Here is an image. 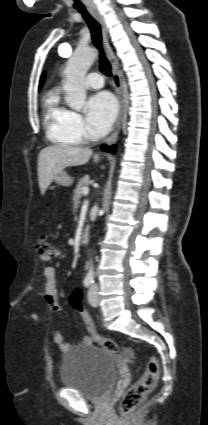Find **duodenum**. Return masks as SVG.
Here are the masks:
<instances>
[{"label": "duodenum", "instance_id": "duodenum-1", "mask_svg": "<svg viewBox=\"0 0 208 425\" xmlns=\"http://www.w3.org/2000/svg\"><path fill=\"white\" fill-rule=\"evenodd\" d=\"M80 241L82 244H87L89 241V232L87 229H84L80 236Z\"/></svg>", "mask_w": 208, "mask_h": 425}]
</instances>
